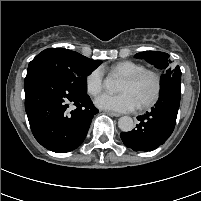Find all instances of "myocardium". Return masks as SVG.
Here are the masks:
<instances>
[{"instance_id":"myocardium-1","label":"myocardium","mask_w":201,"mask_h":201,"mask_svg":"<svg viewBox=\"0 0 201 201\" xmlns=\"http://www.w3.org/2000/svg\"><path fill=\"white\" fill-rule=\"evenodd\" d=\"M146 76H150L154 80V92L147 101L138 105L139 109H148L158 101L162 91V78L158 72L151 69H144L140 72L124 77V80H126L127 82L136 83Z\"/></svg>"}]
</instances>
